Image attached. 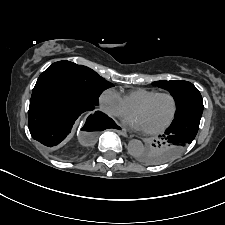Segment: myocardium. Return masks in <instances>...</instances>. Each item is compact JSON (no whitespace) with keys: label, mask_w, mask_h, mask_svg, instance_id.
Segmentation results:
<instances>
[{"label":"myocardium","mask_w":225,"mask_h":225,"mask_svg":"<svg viewBox=\"0 0 225 225\" xmlns=\"http://www.w3.org/2000/svg\"><path fill=\"white\" fill-rule=\"evenodd\" d=\"M161 96H167V97H169L171 99L172 105H173L171 116L167 120V122L164 123L162 126H160L158 128H155V129H151V130H144V132L147 133V134H158V133H161V132L165 131L167 128H169L172 125L173 121L175 120V117H176V114H177V110H178V104H177L176 97L170 92H158V93H155L152 96L148 97L144 101L140 102L139 104H137L133 108V112H134V111H136L138 109H141V108L147 106L153 100H155L156 98L161 97Z\"/></svg>","instance_id":"obj_1"}]
</instances>
